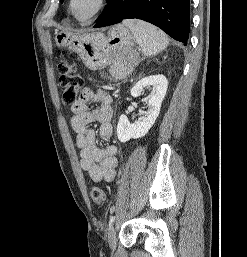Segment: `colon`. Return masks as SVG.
I'll use <instances>...</instances> for the list:
<instances>
[{
	"mask_svg": "<svg viewBox=\"0 0 247 257\" xmlns=\"http://www.w3.org/2000/svg\"><path fill=\"white\" fill-rule=\"evenodd\" d=\"M59 84L63 91L65 101H73L83 87V80L76 72L75 64L69 62L65 57L61 58L58 64ZM90 197L97 206H102L106 202V194L99 187H92Z\"/></svg>",
	"mask_w": 247,
	"mask_h": 257,
	"instance_id": "1",
	"label": "colon"
}]
</instances>
